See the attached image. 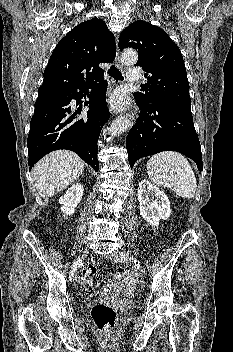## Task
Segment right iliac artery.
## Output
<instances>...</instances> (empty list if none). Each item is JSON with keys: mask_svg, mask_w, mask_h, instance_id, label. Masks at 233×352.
I'll return each instance as SVG.
<instances>
[{"mask_svg": "<svg viewBox=\"0 0 233 352\" xmlns=\"http://www.w3.org/2000/svg\"><path fill=\"white\" fill-rule=\"evenodd\" d=\"M82 265V260L78 259L76 261L73 262L72 267H71V271L69 273V280L73 281L74 277H75V272L77 270V268H79Z\"/></svg>", "mask_w": 233, "mask_h": 352, "instance_id": "82829eb1", "label": "right iliac artery"}]
</instances>
